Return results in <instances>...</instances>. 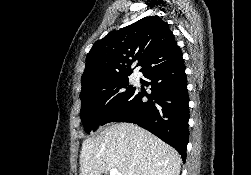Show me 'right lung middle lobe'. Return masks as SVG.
<instances>
[{
    "label": "right lung middle lobe",
    "mask_w": 251,
    "mask_h": 175,
    "mask_svg": "<svg viewBox=\"0 0 251 175\" xmlns=\"http://www.w3.org/2000/svg\"><path fill=\"white\" fill-rule=\"evenodd\" d=\"M133 90L128 76L119 77L105 85L82 88L80 117L86 132L95 131L105 116Z\"/></svg>",
    "instance_id": "1"
}]
</instances>
